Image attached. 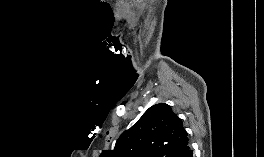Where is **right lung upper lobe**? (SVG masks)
Segmentation results:
<instances>
[{
    "label": "right lung upper lobe",
    "mask_w": 264,
    "mask_h": 157,
    "mask_svg": "<svg viewBox=\"0 0 264 157\" xmlns=\"http://www.w3.org/2000/svg\"><path fill=\"white\" fill-rule=\"evenodd\" d=\"M182 120L165 103L151 106L123 132L109 157H175L188 145Z\"/></svg>",
    "instance_id": "right-lung-upper-lobe-1"
}]
</instances>
